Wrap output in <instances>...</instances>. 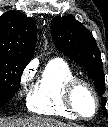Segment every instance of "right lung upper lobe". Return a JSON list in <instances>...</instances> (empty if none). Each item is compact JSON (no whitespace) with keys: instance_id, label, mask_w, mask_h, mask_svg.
Returning a JSON list of instances; mask_svg holds the SVG:
<instances>
[{"instance_id":"obj_1","label":"right lung upper lobe","mask_w":108,"mask_h":127,"mask_svg":"<svg viewBox=\"0 0 108 127\" xmlns=\"http://www.w3.org/2000/svg\"><path fill=\"white\" fill-rule=\"evenodd\" d=\"M36 38L35 21L23 13L9 11L0 17V55L29 63Z\"/></svg>"}]
</instances>
